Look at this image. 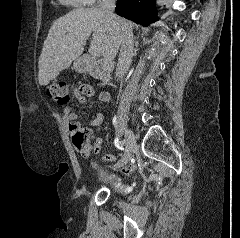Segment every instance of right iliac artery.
<instances>
[{
	"instance_id": "obj_1",
	"label": "right iliac artery",
	"mask_w": 240,
	"mask_h": 238,
	"mask_svg": "<svg viewBox=\"0 0 240 238\" xmlns=\"http://www.w3.org/2000/svg\"><path fill=\"white\" fill-rule=\"evenodd\" d=\"M124 145H125V141L121 140L120 143H119V146H121V148H122V146H124Z\"/></svg>"
}]
</instances>
